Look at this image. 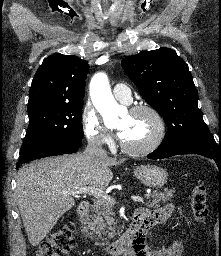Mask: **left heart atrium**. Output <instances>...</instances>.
I'll use <instances>...</instances> for the list:
<instances>
[{
  "label": "left heart atrium",
  "mask_w": 221,
  "mask_h": 256,
  "mask_svg": "<svg viewBox=\"0 0 221 256\" xmlns=\"http://www.w3.org/2000/svg\"><path fill=\"white\" fill-rule=\"evenodd\" d=\"M118 135L121 139H123L125 136V131H120Z\"/></svg>",
  "instance_id": "1"
}]
</instances>
